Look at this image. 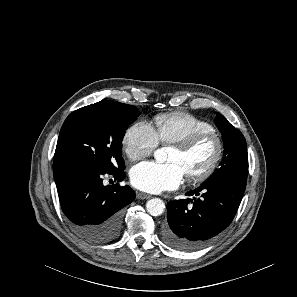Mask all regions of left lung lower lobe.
Listing matches in <instances>:
<instances>
[{
  "mask_svg": "<svg viewBox=\"0 0 297 297\" xmlns=\"http://www.w3.org/2000/svg\"><path fill=\"white\" fill-rule=\"evenodd\" d=\"M245 188L246 180L215 179L187 192L186 195L193 196L191 200L170 201L168 223L163 227L164 242L180 251L205 246L230 225Z\"/></svg>",
  "mask_w": 297,
  "mask_h": 297,
  "instance_id": "obj_1",
  "label": "left lung lower lobe"
}]
</instances>
